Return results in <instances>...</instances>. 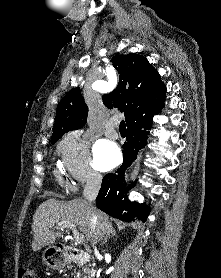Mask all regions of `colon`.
Listing matches in <instances>:
<instances>
[{"label":"colon","instance_id":"1","mask_svg":"<svg viewBox=\"0 0 221 278\" xmlns=\"http://www.w3.org/2000/svg\"><path fill=\"white\" fill-rule=\"evenodd\" d=\"M18 278H38V275L34 269L26 266L19 269Z\"/></svg>","mask_w":221,"mask_h":278}]
</instances>
